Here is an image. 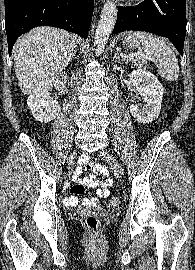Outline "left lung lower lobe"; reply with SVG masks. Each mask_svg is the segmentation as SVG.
<instances>
[{"instance_id":"obj_1","label":"left lung lower lobe","mask_w":195,"mask_h":270,"mask_svg":"<svg viewBox=\"0 0 195 270\" xmlns=\"http://www.w3.org/2000/svg\"><path fill=\"white\" fill-rule=\"evenodd\" d=\"M146 31L167 37L183 55L186 0H145L135 7H119L113 33Z\"/></svg>"}]
</instances>
